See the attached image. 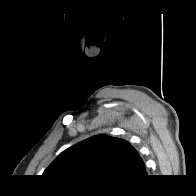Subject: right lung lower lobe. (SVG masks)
<instances>
[{"mask_svg": "<svg viewBox=\"0 0 196 196\" xmlns=\"http://www.w3.org/2000/svg\"><path fill=\"white\" fill-rule=\"evenodd\" d=\"M135 182L133 183H127V184H122V185H118V186H130V185H133Z\"/></svg>", "mask_w": 196, "mask_h": 196, "instance_id": "98d812e1", "label": "right lung lower lobe"}]
</instances>
